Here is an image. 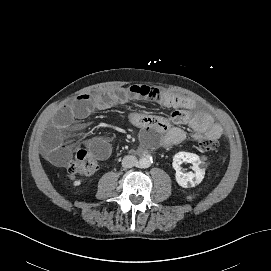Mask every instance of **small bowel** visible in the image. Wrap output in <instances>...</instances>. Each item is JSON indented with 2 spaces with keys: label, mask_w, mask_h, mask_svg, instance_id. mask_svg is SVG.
Instances as JSON below:
<instances>
[{
  "label": "small bowel",
  "mask_w": 271,
  "mask_h": 271,
  "mask_svg": "<svg viewBox=\"0 0 271 271\" xmlns=\"http://www.w3.org/2000/svg\"><path fill=\"white\" fill-rule=\"evenodd\" d=\"M135 100H148L175 109L170 118L132 113L129 119L133 125L141 129L144 140L152 141L156 134H160L159 144L170 147L188 137L199 141L205 136L219 138L222 135L221 126L207 111L198 108L193 99L153 86L131 85L97 94H81L60 109L45 133L44 156L57 166L63 165L71 155L69 147L65 144L64 131L75 120L86 118L95 110ZM182 125H188L189 131L183 129ZM86 144L100 159H106L111 155L112 146L107 139L94 137L88 139Z\"/></svg>",
  "instance_id": "obj_1"
}]
</instances>
